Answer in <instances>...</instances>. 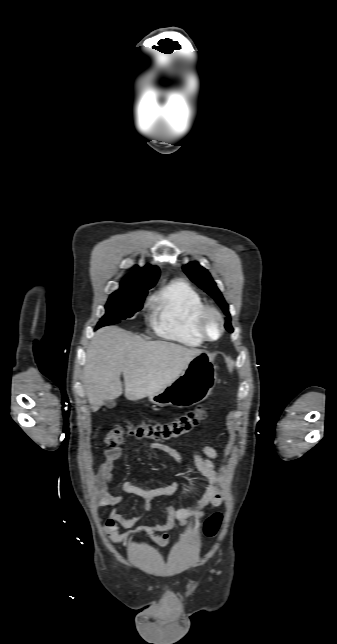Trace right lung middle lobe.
I'll use <instances>...</instances> for the list:
<instances>
[{"instance_id": "dd1d6c3e", "label": "right lung middle lobe", "mask_w": 337, "mask_h": 644, "mask_svg": "<svg viewBox=\"0 0 337 644\" xmlns=\"http://www.w3.org/2000/svg\"><path fill=\"white\" fill-rule=\"evenodd\" d=\"M150 288H128L112 293L105 306L106 314L98 322L97 328L113 325L120 320L132 317L142 308L147 290Z\"/></svg>"}]
</instances>
